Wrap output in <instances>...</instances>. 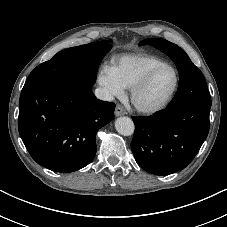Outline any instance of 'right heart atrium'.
Listing matches in <instances>:
<instances>
[{
    "mask_svg": "<svg viewBox=\"0 0 227 227\" xmlns=\"http://www.w3.org/2000/svg\"><path fill=\"white\" fill-rule=\"evenodd\" d=\"M97 79L107 97L118 98L123 95L124 88L118 82L111 67H102L98 73Z\"/></svg>",
    "mask_w": 227,
    "mask_h": 227,
    "instance_id": "right-heart-atrium-1",
    "label": "right heart atrium"
}]
</instances>
